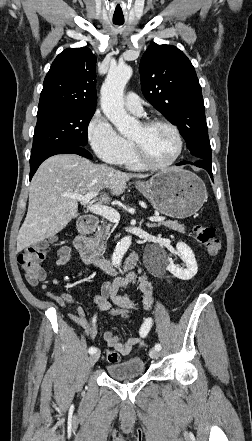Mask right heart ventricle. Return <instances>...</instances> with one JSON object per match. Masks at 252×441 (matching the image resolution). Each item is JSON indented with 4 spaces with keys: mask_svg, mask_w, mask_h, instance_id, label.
<instances>
[{
    "mask_svg": "<svg viewBox=\"0 0 252 441\" xmlns=\"http://www.w3.org/2000/svg\"><path fill=\"white\" fill-rule=\"evenodd\" d=\"M121 165H124L126 168L134 171H140L145 169V167L137 159L132 144L129 153L127 154Z\"/></svg>",
    "mask_w": 252,
    "mask_h": 441,
    "instance_id": "right-heart-ventricle-1",
    "label": "right heart ventricle"
}]
</instances>
